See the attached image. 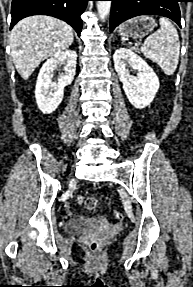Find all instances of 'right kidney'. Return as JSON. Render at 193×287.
Here are the masks:
<instances>
[{
    "label": "right kidney",
    "instance_id": "right-kidney-1",
    "mask_svg": "<svg viewBox=\"0 0 193 287\" xmlns=\"http://www.w3.org/2000/svg\"><path fill=\"white\" fill-rule=\"evenodd\" d=\"M76 60L77 53L75 51H61L53 54L40 69L35 97L38 108L44 114L54 112L60 105L64 95V87L70 85L74 79ZM61 65H64V73L57 82H53V73Z\"/></svg>",
    "mask_w": 193,
    "mask_h": 287
}]
</instances>
